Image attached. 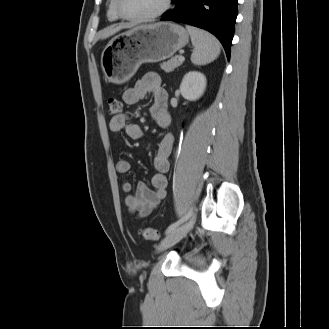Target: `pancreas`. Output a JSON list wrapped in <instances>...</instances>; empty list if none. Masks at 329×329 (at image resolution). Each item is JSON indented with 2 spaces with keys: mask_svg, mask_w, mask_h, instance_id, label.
<instances>
[{
  "mask_svg": "<svg viewBox=\"0 0 329 329\" xmlns=\"http://www.w3.org/2000/svg\"><path fill=\"white\" fill-rule=\"evenodd\" d=\"M181 64H182V62L179 61V57L176 56V57L171 58L167 62L161 63L160 66L164 71L171 72L175 68L179 67Z\"/></svg>",
  "mask_w": 329,
  "mask_h": 329,
  "instance_id": "cf45deb5",
  "label": "pancreas"
}]
</instances>
